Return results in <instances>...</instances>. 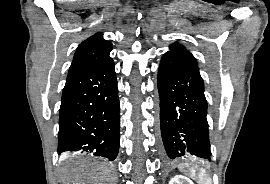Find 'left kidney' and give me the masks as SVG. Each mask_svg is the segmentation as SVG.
<instances>
[{"instance_id": "5707ae66", "label": "left kidney", "mask_w": 270, "mask_h": 184, "mask_svg": "<svg viewBox=\"0 0 270 184\" xmlns=\"http://www.w3.org/2000/svg\"><path fill=\"white\" fill-rule=\"evenodd\" d=\"M169 184H194V183L187 177L176 175L169 181Z\"/></svg>"}]
</instances>
